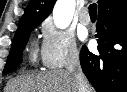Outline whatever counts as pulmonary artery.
<instances>
[{"label": "pulmonary artery", "mask_w": 127, "mask_h": 92, "mask_svg": "<svg viewBox=\"0 0 127 92\" xmlns=\"http://www.w3.org/2000/svg\"><path fill=\"white\" fill-rule=\"evenodd\" d=\"M79 20L83 25H88L90 23V16L88 13V9L84 8L80 11Z\"/></svg>", "instance_id": "e3ab8cb5"}]
</instances>
